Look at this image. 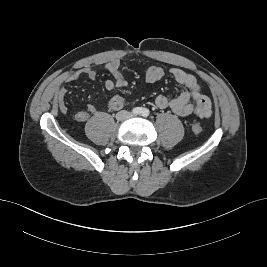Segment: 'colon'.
Listing matches in <instances>:
<instances>
[{
    "label": "colon",
    "instance_id": "5ec220e1",
    "mask_svg": "<svg viewBox=\"0 0 267 267\" xmlns=\"http://www.w3.org/2000/svg\"><path fill=\"white\" fill-rule=\"evenodd\" d=\"M192 130L196 134L201 133L202 132V126L199 123H194L192 126Z\"/></svg>",
    "mask_w": 267,
    "mask_h": 267
}]
</instances>
